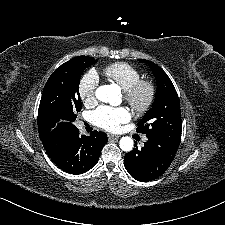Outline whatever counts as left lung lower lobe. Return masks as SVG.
I'll use <instances>...</instances> for the list:
<instances>
[{
    "instance_id": "1",
    "label": "left lung lower lobe",
    "mask_w": 225,
    "mask_h": 225,
    "mask_svg": "<svg viewBox=\"0 0 225 225\" xmlns=\"http://www.w3.org/2000/svg\"><path fill=\"white\" fill-rule=\"evenodd\" d=\"M141 150L125 155V168L138 181L148 182L161 176L172 163L179 144L161 137H147Z\"/></svg>"
}]
</instances>
